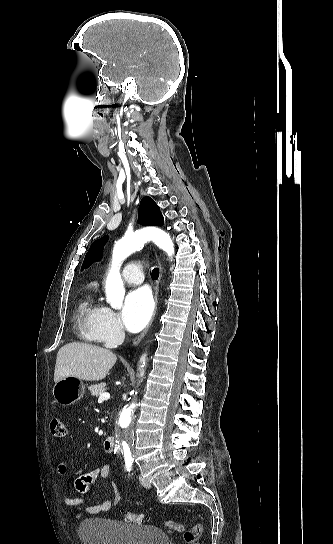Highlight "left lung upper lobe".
I'll use <instances>...</instances> for the list:
<instances>
[{
	"label": "left lung upper lobe",
	"mask_w": 333,
	"mask_h": 544,
	"mask_svg": "<svg viewBox=\"0 0 333 544\" xmlns=\"http://www.w3.org/2000/svg\"><path fill=\"white\" fill-rule=\"evenodd\" d=\"M138 222L142 225H154L162 226L163 216L160 212L159 207L150 197H144L141 200L138 213ZM108 237L105 236L100 240L95 241L89 251L87 252L84 259V267H89L94 261H97L101 258L102 248L107 242Z\"/></svg>",
	"instance_id": "1"
}]
</instances>
